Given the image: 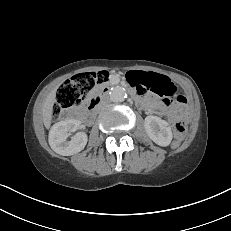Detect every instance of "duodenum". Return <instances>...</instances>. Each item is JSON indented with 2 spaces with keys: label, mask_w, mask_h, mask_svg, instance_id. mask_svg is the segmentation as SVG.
<instances>
[{
  "label": "duodenum",
  "mask_w": 231,
  "mask_h": 231,
  "mask_svg": "<svg viewBox=\"0 0 231 231\" xmlns=\"http://www.w3.org/2000/svg\"><path fill=\"white\" fill-rule=\"evenodd\" d=\"M107 92H108V87L105 86L102 88V90L99 93H97L94 97L90 99L87 106V111H86L87 114L90 115L94 111V109L102 101L103 97L107 94ZM133 94L137 99H141L139 92H133Z\"/></svg>",
  "instance_id": "1"
}]
</instances>
